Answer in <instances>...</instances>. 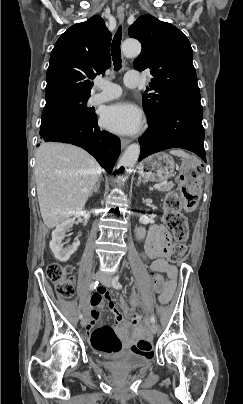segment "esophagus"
<instances>
[{"label": "esophagus", "instance_id": "esophagus-1", "mask_svg": "<svg viewBox=\"0 0 243 404\" xmlns=\"http://www.w3.org/2000/svg\"><path fill=\"white\" fill-rule=\"evenodd\" d=\"M117 16H118L119 22L122 24L123 21H124V16H125L124 7H118L117 8ZM129 143H130L129 139H121V147L122 148H125Z\"/></svg>", "mask_w": 243, "mask_h": 404}]
</instances>
